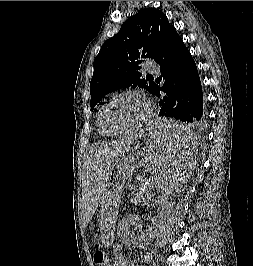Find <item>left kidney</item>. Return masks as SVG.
I'll use <instances>...</instances> for the list:
<instances>
[{
  "mask_svg": "<svg viewBox=\"0 0 253 266\" xmlns=\"http://www.w3.org/2000/svg\"><path fill=\"white\" fill-rule=\"evenodd\" d=\"M138 221V216L127 215L119 224L118 235L122 243L128 247H141L143 244L148 243L153 237V230L148 229L145 233L135 234L130 228Z\"/></svg>",
  "mask_w": 253,
  "mask_h": 266,
  "instance_id": "left-kidney-1",
  "label": "left kidney"
}]
</instances>
